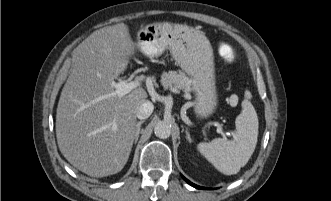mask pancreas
I'll return each instance as SVG.
<instances>
[{"mask_svg": "<svg viewBox=\"0 0 331 201\" xmlns=\"http://www.w3.org/2000/svg\"><path fill=\"white\" fill-rule=\"evenodd\" d=\"M161 84L165 89L176 87L185 94H189L193 90L192 80L183 72H164L161 76Z\"/></svg>", "mask_w": 331, "mask_h": 201, "instance_id": "cf45deb5", "label": "pancreas"}]
</instances>
